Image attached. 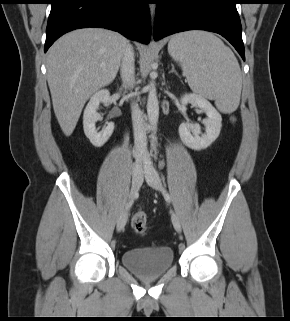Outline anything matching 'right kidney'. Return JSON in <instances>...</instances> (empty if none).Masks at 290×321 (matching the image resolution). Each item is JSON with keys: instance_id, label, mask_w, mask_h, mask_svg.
I'll use <instances>...</instances> for the list:
<instances>
[{"instance_id": "ca27d5eb", "label": "right kidney", "mask_w": 290, "mask_h": 321, "mask_svg": "<svg viewBox=\"0 0 290 321\" xmlns=\"http://www.w3.org/2000/svg\"><path fill=\"white\" fill-rule=\"evenodd\" d=\"M110 100V92L107 89H102L96 92L87 104L83 115V129L86 137L95 147L103 146L114 131V123H108L101 131L96 129V122L100 118L97 109L100 103H108Z\"/></svg>"}]
</instances>
